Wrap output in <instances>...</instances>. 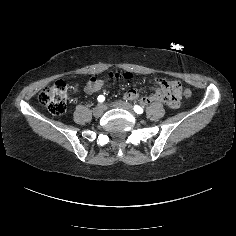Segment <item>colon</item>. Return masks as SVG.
I'll return each mask as SVG.
<instances>
[{
	"label": "colon",
	"mask_w": 236,
	"mask_h": 236,
	"mask_svg": "<svg viewBox=\"0 0 236 236\" xmlns=\"http://www.w3.org/2000/svg\"><path fill=\"white\" fill-rule=\"evenodd\" d=\"M109 77L112 79H130L132 75L130 73H110ZM174 86L181 88L178 83H174ZM182 94L184 97H190L191 90L188 88H182ZM67 98L68 86L66 82L62 80L44 88L39 94V102L54 115H62L66 111Z\"/></svg>",
	"instance_id": "colon-1"
}]
</instances>
